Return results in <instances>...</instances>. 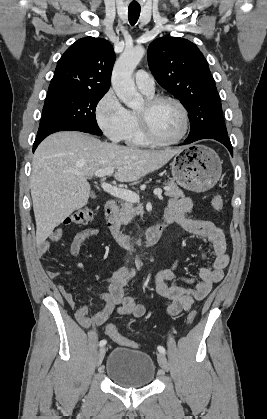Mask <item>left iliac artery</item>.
Returning a JSON list of instances; mask_svg holds the SVG:
<instances>
[{
	"instance_id": "left-iliac-artery-1",
	"label": "left iliac artery",
	"mask_w": 267,
	"mask_h": 419,
	"mask_svg": "<svg viewBox=\"0 0 267 419\" xmlns=\"http://www.w3.org/2000/svg\"><path fill=\"white\" fill-rule=\"evenodd\" d=\"M158 351L160 352V353H163V354H165L166 353V350H165V348L163 347V346H158Z\"/></svg>"
}]
</instances>
